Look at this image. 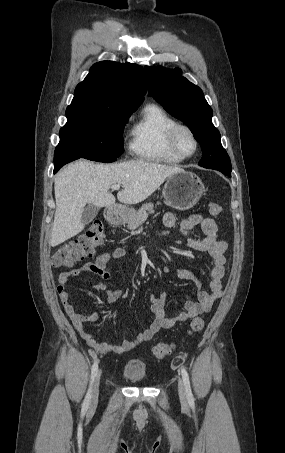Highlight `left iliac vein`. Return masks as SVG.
I'll return each mask as SVG.
<instances>
[{
	"label": "left iliac vein",
	"mask_w": 285,
	"mask_h": 453,
	"mask_svg": "<svg viewBox=\"0 0 285 453\" xmlns=\"http://www.w3.org/2000/svg\"><path fill=\"white\" fill-rule=\"evenodd\" d=\"M178 393H179V398H180L181 402L183 404H186L187 403L186 394H185L183 383L180 379L178 380Z\"/></svg>",
	"instance_id": "obj_1"
}]
</instances>
